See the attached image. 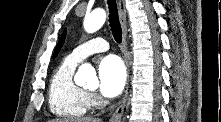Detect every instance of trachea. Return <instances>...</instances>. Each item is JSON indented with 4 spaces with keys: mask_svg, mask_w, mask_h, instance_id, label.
Segmentation results:
<instances>
[{
    "mask_svg": "<svg viewBox=\"0 0 221 122\" xmlns=\"http://www.w3.org/2000/svg\"><path fill=\"white\" fill-rule=\"evenodd\" d=\"M107 3L109 5V23H110L113 37L117 43H121L122 30H121V26H120L116 1L115 0H108Z\"/></svg>",
    "mask_w": 221,
    "mask_h": 122,
    "instance_id": "trachea-1",
    "label": "trachea"
}]
</instances>
